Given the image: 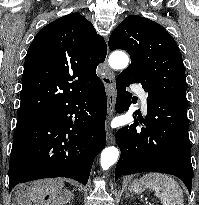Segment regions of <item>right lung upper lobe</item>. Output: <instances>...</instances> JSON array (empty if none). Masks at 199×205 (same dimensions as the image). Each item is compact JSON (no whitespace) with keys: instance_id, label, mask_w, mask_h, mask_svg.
<instances>
[{"instance_id":"1","label":"right lung upper lobe","mask_w":199,"mask_h":205,"mask_svg":"<svg viewBox=\"0 0 199 205\" xmlns=\"http://www.w3.org/2000/svg\"><path fill=\"white\" fill-rule=\"evenodd\" d=\"M106 54L104 39L78 12L43 27L26 55L18 119L37 118L92 88Z\"/></svg>"}]
</instances>
